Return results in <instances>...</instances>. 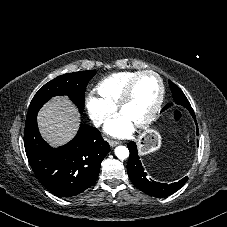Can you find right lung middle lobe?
<instances>
[{
    "label": "right lung middle lobe",
    "mask_w": 227,
    "mask_h": 227,
    "mask_svg": "<svg viewBox=\"0 0 227 227\" xmlns=\"http://www.w3.org/2000/svg\"><path fill=\"white\" fill-rule=\"evenodd\" d=\"M95 73V70L80 71L61 75L49 81L33 97L27 117L37 114L43 104L52 97L63 95L68 96L82 113L86 86Z\"/></svg>",
    "instance_id": "dd1d6c3e"
}]
</instances>
